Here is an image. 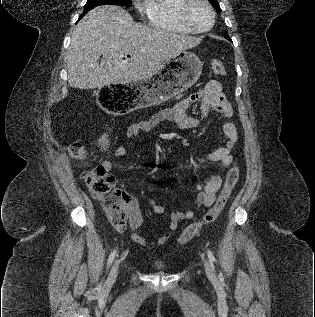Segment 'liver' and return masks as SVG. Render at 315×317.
Returning <instances> with one entry per match:
<instances>
[{
  "mask_svg": "<svg viewBox=\"0 0 315 317\" xmlns=\"http://www.w3.org/2000/svg\"><path fill=\"white\" fill-rule=\"evenodd\" d=\"M199 43V38L136 23L118 6H100L81 19L71 37L68 84L94 89L135 83L154 76L164 62Z\"/></svg>",
  "mask_w": 315,
  "mask_h": 317,
  "instance_id": "1",
  "label": "liver"
}]
</instances>
